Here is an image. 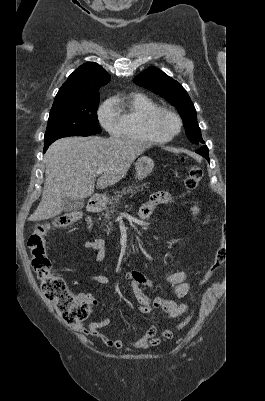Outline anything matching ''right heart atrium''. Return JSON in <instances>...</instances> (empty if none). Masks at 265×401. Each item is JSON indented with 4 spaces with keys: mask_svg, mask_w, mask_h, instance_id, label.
Returning <instances> with one entry per match:
<instances>
[{
    "mask_svg": "<svg viewBox=\"0 0 265 401\" xmlns=\"http://www.w3.org/2000/svg\"><path fill=\"white\" fill-rule=\"evenodd\" d=\"M100 123L109 130H114L117 124V116L114 114L111 100L104 101L98 108Z\"/></svg>",
    "mask_w": 265,
    "mask_h": 401,
    "instance_id": "right-heart-atrium-1",
    "label": "right heart atrium"
}]
</instances>
